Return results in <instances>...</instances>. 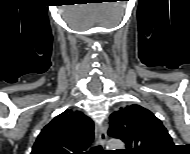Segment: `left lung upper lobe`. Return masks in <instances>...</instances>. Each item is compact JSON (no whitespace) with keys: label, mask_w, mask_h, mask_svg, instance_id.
<instances>
[{"label":"left lung upper lobe","mask_w":190,"mask_h":154,"mask_svg":"<svg viewBox=\"0 0 190 154\" xmlns=\"http://www.w3.org/2000/svg\"><path fill=\"white\" fill-rule=\"evenodd\" d=\"M108 135L121 139L127 154H158L174 145L162 122L151 111L136 104L112 113Z\"/></svg>","instance_id":"5c2ea615"}]
</instances>
